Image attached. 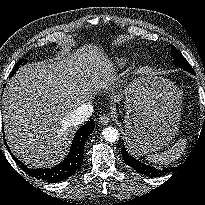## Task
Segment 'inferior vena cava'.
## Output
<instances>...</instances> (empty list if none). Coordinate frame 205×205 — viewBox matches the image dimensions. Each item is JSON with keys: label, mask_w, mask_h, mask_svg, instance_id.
Listing matches in <instances>:
<instances>
[{"label": "inferior vena cava", "mask_w": 205, "mask_h": 205, "mask_svg": "<svg viewBox=\"0 0 205 205\" xmlns=\"http://www.w3.org/2000/svg\"><path fill=\"white\" fill-rule=\"evenodd\" d=\"M93 113V106L89 103H83L77 106L67 117L70 126L87 121Z\"/></svg>", "instance_id": "602c4592"}]
</instances>
